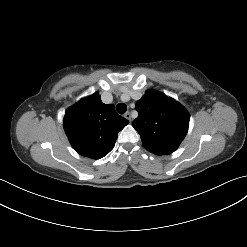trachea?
I'll use <instances>...</instances> for the list:
<instances>
[{"label": "trachea", "instance_id": "trachea-1", "mask_svg": "<svg viewBox=\"0 0 247 247\" xmlns=\"http://www.w3.org/2000/svg\"><path fill=\"white\" fill-rule=\"evenodd\" d=\"M116 110L119 114H124L127 110V106L124 103H119L116 106Z\"/></svg>", "mask_w": 247, "mask_h": 247}]
</instances>
